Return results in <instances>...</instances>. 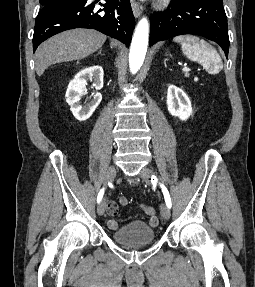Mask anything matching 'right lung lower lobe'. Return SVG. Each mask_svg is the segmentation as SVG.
Returning <instances> with one entry per match:
<instances>
[{
    "instance_id": "right-lung-lower-lobe-1",
    "label": "right lung lower lobe",
    "mask_w": 255,
    "mask_h": 287,
    "mask_svg": "<svg viewBox=\"0 0 255 287\" xmlns=\"http://www.w3.org/2000/svg\"><path fill=\"white\" fill-rule=\"evenodd\" d=\"M78 0L44 6L34 28L33 51L47 38L74 28H92L129 46L135 19L130 0H105L107 4ZM98 5L104 9H98Z\"/></svg>"
}]
</instances>
